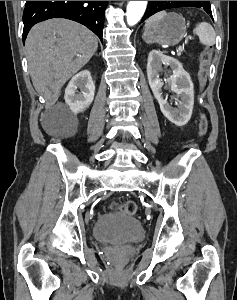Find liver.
Masks as SVG:
<instances>
[{"label": "liver", "instance_id": "6515ba94", "mask_svg": "<svg viewBox=\"0 0 237 300\" xmlns=\"http://www.w3.org/2000/svg\"><path fill=\"white\" fill-rule=\"evenodd\" d=\"M25 49L34 89L51 107L66 81L90 61L98 41L79 23L50 19L32 27Z\"/></svg>", "mask_w": 237, "mask_h": 300}]
</instances>
